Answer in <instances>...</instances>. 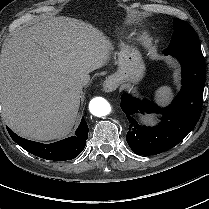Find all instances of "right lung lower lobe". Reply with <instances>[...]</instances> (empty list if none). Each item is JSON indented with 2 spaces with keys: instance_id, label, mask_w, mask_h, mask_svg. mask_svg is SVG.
Returning a JSON list of instances; mask_svg holds the SVG:
<instances>
[{
  "instance_id": "obj_1",
  "label": "right lung lower lobe",
  "mask_w": 209,
  "mask_h": 209,
  "mask_svg": "<svg viewBox=\"0 0 209 209\" xmlns=\"http://www.w3.org/2000/svg\"><path fill=\"white\" fill-rule=\"evenodd\" d=\"M7 130L11 138L31 154L47 160L64 161L74 159L81 153L86 145L89 128L84 118H82L75 136L51 144L26 140L16 135L9 128Z\"/></svg>"
}]
</instances>
